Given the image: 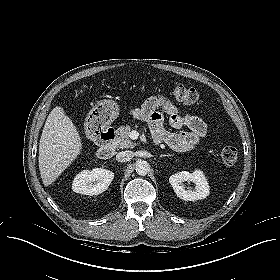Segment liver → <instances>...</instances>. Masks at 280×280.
<instances>
[{
  "instance_id": "liver-1",
  "label": "liver",
  "mask_w": 280,
  "mask_h": 280,
  "mask_svg": "<svg viewBox=\"0 0 280 280\" xmlns=\"http://www.w3.org/2000/svg\"><path fill=\"white\" fill-rule=\"evenodd\" d=\"M81 137L62 107L52 109L45 122L39 143V170L43 184L51 185L77 158Z\"/></svg>"
}]
</instances>
